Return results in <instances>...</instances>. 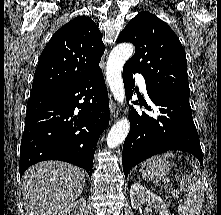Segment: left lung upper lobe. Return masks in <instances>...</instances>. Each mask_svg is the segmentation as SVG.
Wrapping results in <instances>:
<instances>
[{
  "instance_id": "obj_1",
  "label": "left lung upper lobe",
  "mask_w": 221,
  "mask_h": 215,
  "mask_svg": "<svg viewBox=\"0 0 221 215\" xmlns=\"http://www.w3.org/2000/svg\"><path fill=\"white\" fill-rule=\"evenodd\" d=\"M131 42L135 54L124 67L141 73L148 86L189 99L185 51L174 31L148 11L136 15L117 43Z\"/></svg>"
}]
</instances>
